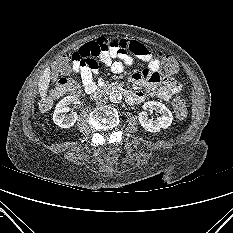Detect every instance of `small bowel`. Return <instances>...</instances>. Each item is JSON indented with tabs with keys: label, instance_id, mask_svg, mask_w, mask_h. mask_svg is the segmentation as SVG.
I'll return each instance as SVG.
<instances>
[{
	"label": "small bowel",
	"instance_id": "small-bowel-1",
	"mask_svg": "<svg viewBox=\"0 0 233 233\" xmlns=\"http://www.w3.org/2000/svg\"><path fill=\"white\" fill-rule=\"evenodd\" d=\"M106 40L107 38L102 37L94 42L85 43L72 55V71L81 78L86 92L92 93L98 86L104 84V80L98 77V64L94 58H97L113 73L120 74L125 67L133 64L132 55L147 63L144 70L130 75L132 82L153 90L162 100H169L173 94L181 91V84L177 80L161 76L160 61L150 48L138 41L124 38H115V46L107 48ZM144 98L143 92L130 91L127 101L131 104H138Z\"/></svg>",
	"mask_w": 233,
	"mask_h": 233
}]
</instances>
